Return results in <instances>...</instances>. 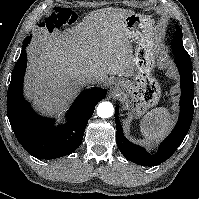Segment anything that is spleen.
I'll return each mask as SVG.
<instances>
[{"label":"spleen","instance_id":"3e777b00","mask_svg":"<svg viewBox=\"0 0 199 199\" xmlns=\"http://www.w3.org/2000/svg\"><path fill=\"white\" fill-rule=\"evenodd\" d=\"M172 124L171 114L168 109L159 107L148 112L140 123L143 136L148 141L162 138Z\"/></svg>","mask_w":199,"mask_h":199}]
</instances>
